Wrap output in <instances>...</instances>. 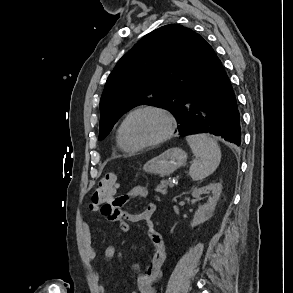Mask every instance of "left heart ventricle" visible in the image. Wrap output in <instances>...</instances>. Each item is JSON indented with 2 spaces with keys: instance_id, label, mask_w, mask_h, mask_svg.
<instances>
[{
  "instance_id": "1",
  "label": "left heart ventricle",
  "mask_w": 293,
  "mask_h": 293,
  "mask_svg": "<svg viewBox=\"0 0 293 293\" xmlns=\"http://www.w3.org/2000/svg\"><path fill=\"white\" fill-rule=\"evenodd\" d=\"M166 129V121L154 112L144 111L133 115L126 124V136L132 144H142L160 137Z\"/></svg>"
}]
</instances>
